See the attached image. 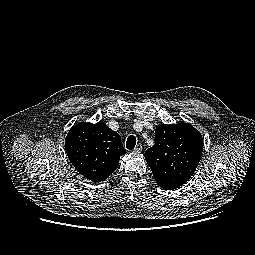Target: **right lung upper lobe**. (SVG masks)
Returning <instances> with one entry per match:
<instances>
[{
	"instance_id": "1",
	"label": "right lung upper lobe",
	"mask_w": 255,
	"mask_h": 255,
	"mask_svg": "<svg viewBox=\"0 0 255 255\" xmlns=\"http://www.w3.org/2000/svg\"><path fill=\"white\" fill-rule=\"evenodd\" d=\"M65 149L75 169L94 182L106 180L126 153L120 135L100 122L73 126L65 139Z\"/></svg>"
}]
</instances>
